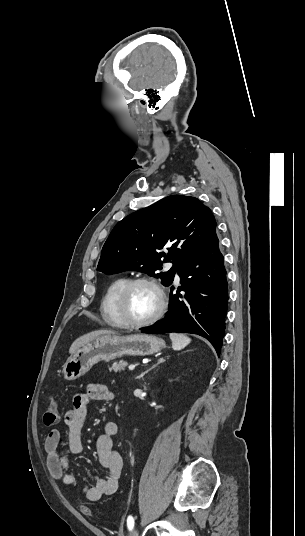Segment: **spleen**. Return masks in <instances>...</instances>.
Instances as JSON below:
<instances>
[{
  "label": "spleen",
  "instance_id": "obj_1",
  "mask_svg": "<svg viewBox=\"0 0 305 536\" xmlns=\"http://www.w3.org/2000/svg\"><path fill=\"white\" fill-rule=\"evenodd\" d=\"M170 338L173 350H183L191 342L190 338H187L184 334H170Z\"/></svg>",
  "mask_w": 305,
  "mask_h": 536
}]
</instances>
